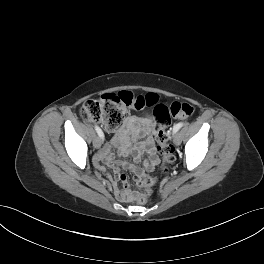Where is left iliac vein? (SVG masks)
Listing matches in <instances>:
<instances>
[{"label": "left iliac vein", "instance_id": "1", "mask_svg": "<svg viewBox=\"0 0 264 264\" xmlns=\"http://www.w3.org/2000/svg\"><path fill=\"white\" fill-rule=\"evenodd\" d=\"M173 142L175 145H179L181 143V136L178 132L174 133Z\"/></svg>", "mask_w": 264, "mask_h": 264}]
</instances>
